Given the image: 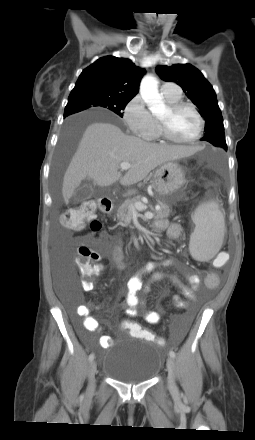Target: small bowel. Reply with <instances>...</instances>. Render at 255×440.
Listing matches in <instances>:
<instances>
[{"instance_id":"c3829d8e","label":"small bowel","mask_w":255,"mask_h":440,"mask_svg":"<svg viewBox=\"0 0 255 440\" xmlns=\"http://www.w3.org/2000/svg\"><path fill=\"white\" fill-rule=\"evenodd\" d=\"M155 228L162 230L167 229V235L170 240H177L182 236V226L178 223L168 224L167 220L161 219L155 223ZM225 256L218 254L216 261L224 259ZM111 260L120 268L124 267L123 262V250L121 245H117L111 254ZM175 261L166 260L164 262H151L142 268L138 274L131 277L127 282V293L124 298L125 312L128 316H135L138 314L140 308L143 306V302L138 296L139 292L147 290V285L144 284L142 276L145 274H151V282H159L165 279H169L174 285H176L182 292L185 298H189L191 301L196 300L195 291L200 284V278L197 274L189 273L186 276L187 284H183L179 278L175 275L168 274L162 271H158L160 266L174 265ZM210 277L209 281L207 278ZM206 286L210 289L216 288L219 284L218 276L209 273L206 277ZM85 291H89L93 288L92 284H83ZM179 298L174 297V300ZM76 316L83 318L81 324H76L83 340L87 344H91L85 332H98L101 330L100 323L96 317L91 315V308L87 305H80L76 308ZM143 317L146 322L150 324H157L161 319V314L158 311H144ZM159 338V337H158ZM102 348H109L113 344V338L107 335L101 336L99 340Z\"/></svg>"}]
</instances>
